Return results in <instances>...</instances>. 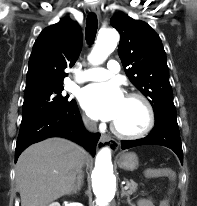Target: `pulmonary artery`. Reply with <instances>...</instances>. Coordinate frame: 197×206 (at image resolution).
<instances>
[{"mask_svg":"<svg viewBox=\"0 0 197 206\" xmlns=\"http://www.w3.org/2000/svg\"><path fill=\"white\" fill-rule=\"evenodd\" d=\"M120 70L119 62L112 59L107 63L106 68H93L86 70L81 77L82 81H100L110 78Z\"/></svg>","mask_w":197,"mask_h":206,"instance_id":"pulmonary-artery-1","label":"pulmonary artery"}]
</instances>
